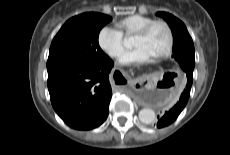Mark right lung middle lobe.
I'll return each mask as SVG.
<instances>
[{
	"mask_svg": "<svg viewBox=\"0 0 230 155\" xmlns=\"http://www.w3.org/2000/svg\"><path fill=\"white\" fill-rule=\"evenodd\" d=\"M110 16L86 13L69 19L54 37L47 69L60 65H96L110 58L98 44L99 32Z\"/></svg>",
	"mask_w": 230,
	"mask_h": 155,
	"instance_id": "dd1d6c3e",
	"label": "right lung middle lobe"
}]
</instances>
